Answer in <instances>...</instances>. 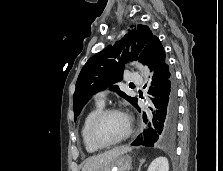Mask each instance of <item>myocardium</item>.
<instances>
[{
    "mask_svg": "<svg viewBox=\"0 0 223 171\" xmlns=\"http://www.w3.org/2000/svg\"><path fill=\"white\" fill-rule=\"evenodd\" d=\"M110 114L122 115L126 119V122H127V131L120 139H118L114 142H111V143H104L97 138L96 128H97L99 122L104 117H106L107 115H110ZM132 132H133V123H132L131 117L126 112H124L123 110H121L119 108H115V107L102 109L92 119V121L90 122L89 128H88V136H89L90 141L92 142V144L94 146H96L100 149L110 148V147H113L115 145H118V144L122 143L123 141H125L126 139H128L130 137Z\"/></svg>",
    "mask_w": 223,
    "mask_h": 171,
    "instance_id": "myocardium-1",
    "label": "myocardium"
}]
</instances>
